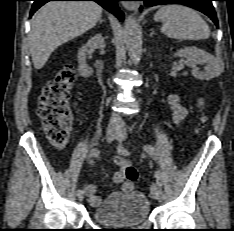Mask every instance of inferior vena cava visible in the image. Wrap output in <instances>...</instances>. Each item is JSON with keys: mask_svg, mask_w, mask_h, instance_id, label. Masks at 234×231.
Returning <instances> with one entry per match:
<instances>
[{"mask_svg": "<svg viewBox=\"0 0 234 231\" xmlns=\"http://www.w3.org/2000/svg\"><path fill=\"white\" fill-rule=\"evenodd\" d=\"M123 125V120L121 116L117 113H112L111 120H110V126L113 127H120Z\"/></svg>", "mask_w": 234, "mask_h": 231, "instance_id": "1", "label": "inferior vena cava"}]
</instances>
